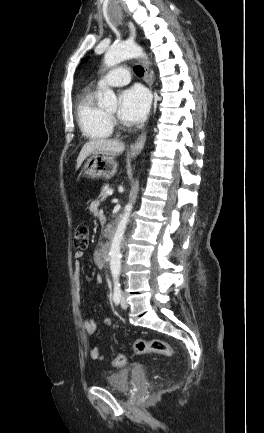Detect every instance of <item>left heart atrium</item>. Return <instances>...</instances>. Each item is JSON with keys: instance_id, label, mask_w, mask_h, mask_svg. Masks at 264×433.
I'll use <instances>...</instances> for the list:
<instances>
[{"instance_id": "obj_1", "label": "left heart atrium", "mask_w": 264, "mask_h": 433, "mask_svg": "<svg viewBox=\"0 0 264 433\" xmlns=\"http://www.w3.org/2000/svg\"><path fill=\"white\" fill-rule=\"evenodd\" d=\"M150 97L142 87H131L120 95L119 118L128 124L141 122L149 109Z\"/></svg>"}]
</instances>
